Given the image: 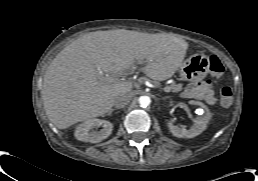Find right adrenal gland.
<instances>
[{
  "label": "right adrenal gland",
  "mask_w": 258,
  "mask_h": 181,
  "mask_svg": "<svg viewBox=\"0 0 258 181\" xmlns=\"http://www.w3.org/2000/svg\"><path fill=\"white\" fill-rule=\"evenodd\" d=\"M114 110L115 108L111 109L108 114L111 115Z\"/></svg>",
  "instance_id": "2a0ac1e0"
}]
</instances>
